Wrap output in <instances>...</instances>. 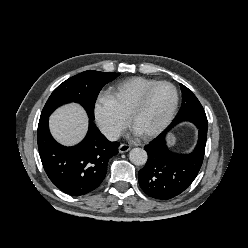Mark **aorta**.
Wrapping results in <instances>:
<instances>
[{
    "label": "aorta",
    "mask_w": 248,
    "mask_h": 248,
    "mask_svg": "<svg viewBox=\"0 0 248 248\" xmlns=\"http://www.w3.org/2000/svg\"><path fill=\"white\" fill-rule=\"evenodd\" d=\"M147 152L142 148H133L129 152V159L134 165H144L147 161Z\"/></svg>",
    "instance_id": "1"
}]
</instances>
